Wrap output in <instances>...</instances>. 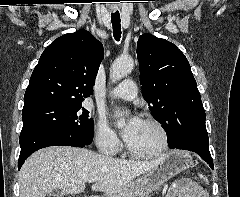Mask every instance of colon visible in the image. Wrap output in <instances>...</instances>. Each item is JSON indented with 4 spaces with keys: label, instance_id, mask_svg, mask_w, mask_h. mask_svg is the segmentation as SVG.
Returning <instances> with one entry per match:
<instances>
[{
    "label": "colon",
    "instance_id": "obj_1",
    "mask_svg": "<svg viewBox=\"0 0 240 197\" xmlns=\"http://www.w3.org/2000/svg\"><path fill=\"white\" fill-rule=\"evenodd\" d=\"M198 178H199L202 182H204V183H207V182H208L207 176H206L205 174H203V173L198 174Z\"/></svg>",
    "mask_w": 240,
    "mask_h": 197
}]
</instances>
